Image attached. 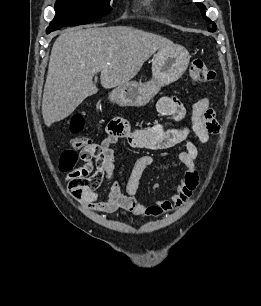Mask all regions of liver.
Masks as SVG:
<instances>
[{"instance_id": "obj_1", "label": "liver", "mask_w": 261, "mask_h": 306, "mask_svg": "<svg viewBox=\"0 0 261 306\" xmlns=\"http://www.w3.org/2000/svg\"><path fill=\"white\" fill-rule=\"evenodd\" d=\"M169 39L127 26L67 29L54 42L42 99L46 126L68 117L97 93L93 77L113 88L130 82Z\"/></svg>"}]
</instances>
